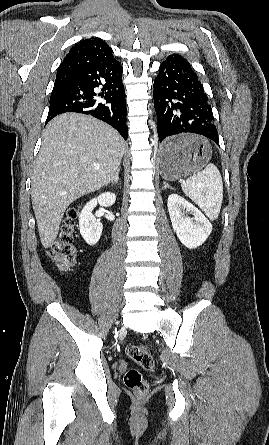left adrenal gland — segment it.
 I'll list each match as a JSON object with an SVG mask.
<instances>
[{
    "label": "left adrenal gland",
    "instance_id": "obj_1",
    "mask_svg": "<svg viewBox=\"0 0 269 445\" xmlns=\"http://www.w3.org/2000/svg\"><path fill=\"white\" fill-rule=\"evenodd\" d=\"M164 184V186H163V189H166V188H170V189H173L171 186H169V184H167V183H163Z\"/></svg>",
    "mask_w": 269,
    "mask_h": 445
}]
</instances>
